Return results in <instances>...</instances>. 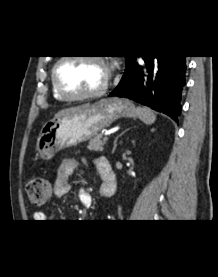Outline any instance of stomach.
Here are the masks:
<instances>
[{
  "mask_svg": "<svg viewBox=\"0 0 218 277\" xmlns=\"http://www.w3.org/2000/svg\"><path fill=\"white\" fill-rule=\"evenodd\" d=\"M135 116L137 109L127 99L111 97L88 104L78 113L44 124L35 146L37 154L50 160L62 149L91 140L117 119Z\"/></svg>",
  "mask_w": 218,
  "mask_h": 277,
  "instance_id": "obj_1",
  "label": "stomach"
}]
</instances>
